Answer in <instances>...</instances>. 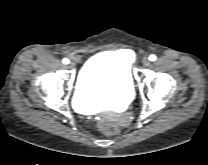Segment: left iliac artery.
Segmentation results:
<instances>
[{
  "instance_id": "1",
  "label": "left iliac artery",
  "mask_w": 208,
  "mask_h": 165,
  "mask_svg": "<svg viewBox=\"0 0 208 165\" xmlns=\"http://www.w3.org/2000/svg\"><path fill=\"white\" fill-rule=\"evenodd\" d=\"M156 58H157V57H156L154 54H152V55L149 56V60H150V61H155Z\"/></svg>"
}]
</instances>
